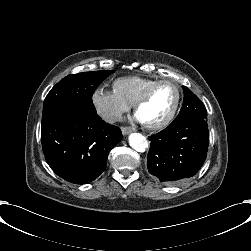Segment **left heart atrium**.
I'll list each match as a JSON object with an SVG mask.
<instances>
[{
    "instance_id": "obj_1",
    "label": "left heart atrium",
    "mask_w": 251,
    "mask_h": 251,
    "mask_svg": "<svg viewBox=\"0 0 251 251\" xmlns=\"http://www.w3.org/2000/svg\"><path fill=\"white\" fill-rule=\"evenodd\" d=\"M135 120L137 121H142L141 117L139 116V114L137 113L135 116H134Z\"/></svg>"
}]
</instances>
